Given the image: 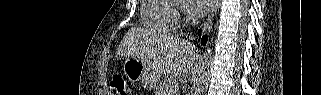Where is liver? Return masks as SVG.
I'll return each instance as SVG.
<instances>
[{
  "label": "liver",
  "mask_w": 321,
  "mask_h": 95,
  "mask_svg": "<svg viewBox=\"0 0 321 95\" xmlns=\"http://www.w3.org/2000/svg\"><path fill=\"white\" fill-rule=\"evenodd\" d=\"M117 54L135 58L157 74L181 75L193 67L197 50L188 40L133 27L121 41Z\"/></svg>",
  "instance_id": "6515ba94"
}]
</instances>
